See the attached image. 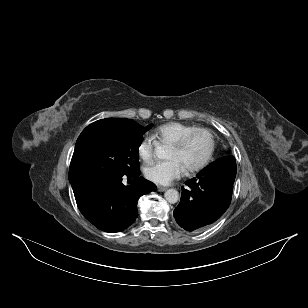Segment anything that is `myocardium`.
I'll return each instance as SVG.
<instances>
[{"mask_svg":"<svg viewBox=\"0 0 308 308\" xmlns=\"http://www.w3.org/2000/svg\"><path fill=\"white\" fill-rule=\"evenodd\" d=\"M198 133H205L209 136L210 147H209V150H208L206 156L204 157V159L200 163H198L197 165H195V166L186 170V172L188 174L197 173V172L203 170L212 160L214 152H215V148H216V139H215L213 132L211 130L207 129V128H196V129L186 133L179 140H177L176 142H174L173 144L170 145V147H173L175 149H182Z\"/></svg>","mask_w":308,"mask_h":308,"instance_id":"obj_1","label":"myocardium"}]
</instances>
